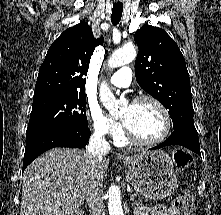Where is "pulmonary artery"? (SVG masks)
Instances as JSON below:
<instances>
[{"instance_id": "e3ab8cb5", "label": "pulmonary artery", "mask_w": 221, "mask_h": 215, "mask_svg": "<svg viewBox=\"0 0 221 215\" xmlns=\"http://www.w3.org/2000/svg\"><path fill=\"white\" fill-rule=\"evenodd\" d=\"M132 80V72L129 67H122L116 71L110 78L109 82L115 86L125 87Z\"/></svg>"}]
</instances>
